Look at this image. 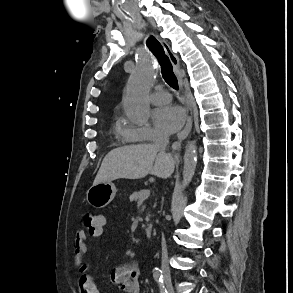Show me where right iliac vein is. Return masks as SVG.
Returning <instances> with one entry per match:
<instances>
[{"mask_svg": "<svg viewBox=\"0 0 293 293\" xmlns=\"http://www.w3.org/2000/svg\"><path fill=\"white\" fill-rule=\"evenodd\" d=\"M164 282L166 284V287L168 289V293H174V288L171 282V277L167 274L164 276Z\"/></svg>", "mask_w": 293, "mask_h": 293, "instance_id": "63e3f726", "label": "right iliac vein"}]
</instances>
